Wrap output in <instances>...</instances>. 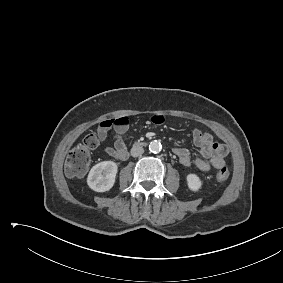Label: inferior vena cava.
Returning <instances> with one entry per match:
<instances>
[{"label": "inferior vena cava", "mask_w": 283, "mask_h": 283, "mask_svg": "<svg viewBox=\"0 0 283 283\" xmlns=\"http://www.w3.org/2000/svg\"><path fill=\"white\" fill-rule=\"evenodd\" d=\"M144 153V149L141 146H133L131 149V155L133 157H138Z\"/></svg>", "instance_id": "inferior-vena-cava-1"}]
</instances>
